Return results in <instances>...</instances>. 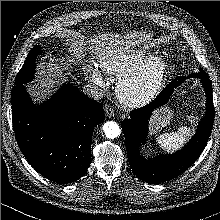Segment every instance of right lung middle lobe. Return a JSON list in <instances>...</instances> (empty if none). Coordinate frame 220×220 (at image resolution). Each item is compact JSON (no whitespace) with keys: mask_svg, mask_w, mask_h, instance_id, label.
<instances>
[{"mask_svg":"<svg viewBox=\"0 0 220 220\" xmlns=\"http://www.w3.org/2000/svg\"><path fill=\"white\" fill-rule=\"evenodd\" d=\"M41 51V47H34L28 54V57L23 64L21 70L16 76L15 84H24L28 83L34 77V69L36 65V58L39 52Z\"/></svg>","mask_w":220,"mask_h":220,"instance_id":"dd1d6c3e","label":"right lung middle lobe"}]
</instances>
